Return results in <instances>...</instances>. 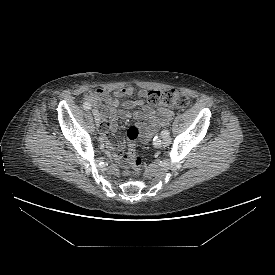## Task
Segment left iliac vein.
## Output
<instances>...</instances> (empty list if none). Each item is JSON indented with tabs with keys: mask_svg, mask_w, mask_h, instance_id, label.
Masks as SVG:
<instances>
[{
	"mask_svg": "<svg viewBox=\"0 0 275 275\" xmlns=\"http://www.w3.org/2000/svg\"><path fill=\"white\" fill-rule=\"evenodd\" d=\"M171 142V138L169 136L167 137H162L161 143L163 146H168Z\"/></svg>",
	"mask_w": 275,
	"mask_h": 275,
	"instance_id": "obj_1",
	"label": "left iliac vein"
}]
</instances>
